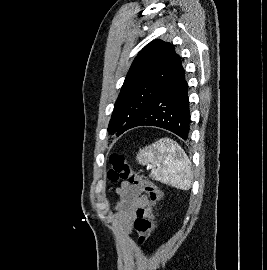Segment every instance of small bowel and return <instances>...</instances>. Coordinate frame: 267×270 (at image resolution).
Here are the masks:
<instances>
[{
	"mask_svg": "<svg viewBox=\"0 0 267 270\" xmlns=\"http://www.w3.org/2000/svg\"><path fill=\"white\" fill-rule=\"evenodd\" d=\"M118 194L115 219L120 231L129 236L139 212L151 216L150 201L140 187L129 182L122 183Z\"/></svg>",
	"mask_w": 267,
	"mask_h": 270,
	"instance_id": "1",
	"label": "small bowel"
}]
</instances>
